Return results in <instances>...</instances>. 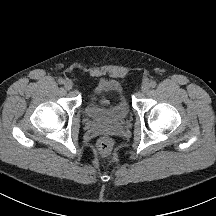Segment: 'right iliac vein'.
Instances as JSON below:
<instances>
[{
    "instance_id": "63e3f726",
    "label": "right iliac vein",
    "mask_w": 216,
    "mask_h": 216,
    "mask_svg": "<svg viewBox=\"0 0 216 216\" xmlns=\"http://www.w3.org/2000/svg\"><path fill=\"white\" fill-rule=\"evenodd\" d=\"M64 87L67 89V90H70L72 89L73 87V83L71 80L67 79L64 81Z\"/></svg>"
}]
</instances>
